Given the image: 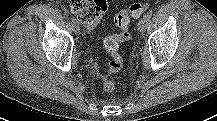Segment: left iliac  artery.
<instances>
[{
	"mask_svg": "<svg viewBox=\"0 0 217 121\" xmlns=\"http://www.w3.org/2000/svg\"><path fill=\"white\" fill-rule=\"evenodd\" d=\"M151 16H152V13H151V12H148V13H146V14L144 15V19H146L147 21H149L150 18H151Z\"/></svg>",
	"mask_w": 217,
	"mask_h": 121,
	"instance_id": "44dca946",
	"label": "left iliac artery"
}]
</instances>
